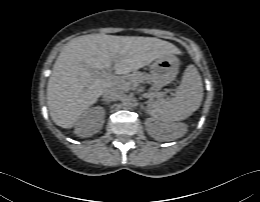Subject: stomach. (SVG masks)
I'll list each match as a JSON object with an SVG mask.
<instances>
[{
	"label": "stomach",
	"instance_id": "0dacf381",
	"mask_svg": "<svg viewBox=\"0 0 260 202\" xmlns=\"http://www.w3.org/2000/svg\"><path fill=\"white\" fill-rule=\"evenodd\" d=\"M150 70L151 90L158 91L175 79L178 73L177 59L169 54L159 57L152 63Z\"/></svg>",
	"mask_w": 260,
	"mask_h": 202
}]
</instances>
